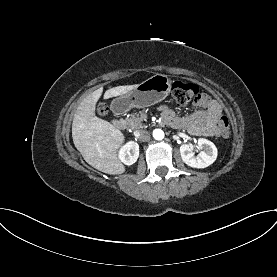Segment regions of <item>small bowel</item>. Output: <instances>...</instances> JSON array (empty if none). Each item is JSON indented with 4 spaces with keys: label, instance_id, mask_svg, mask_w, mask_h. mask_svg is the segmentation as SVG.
I'll use <instances>...</instances> for the list:
<instances>
[{
    "label": "small bowel",
    "instance_id": "small-bowel-1",
    "mask_svg": "<svg viewBox=\"0 0 277 277\" xmlns=\"http://www.w3.org/2000/svg\"><path fill=\"white\" fill-rule=\"evenodd\" d=\"M197 105L202 109L183 117L177 116L168 107L163 106L161 109L163 119L172 127L184 129L192 135L220 136V118L222 115L220 103L210 96L203 94Z\"/></svg>",
    "mask_w": 277,
    "mask_h": 277
}]
</instances>
